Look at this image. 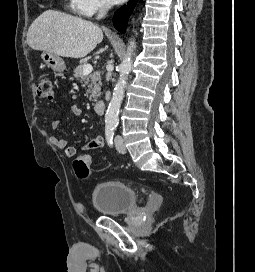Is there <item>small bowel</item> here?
<instances>
[{
	"instance_id": "small-bowel-1",
	"label": "small bowel",
	"mask_w": 255,
	"mask_h": 272,
	"mask_svg": "<svg viewBox=\"0 0 255 272\" xmlns=\"http://www.w3.org/2000/svg\"><path fill=\"white\" fill-rule=\"evenodd\" d=\"M71 112L74 116H77V117L82 115V110L78 106H75V105L71 107ZM60 124H61V119L53 120L51 123V129L53 131H56L59 128ZM50 142L55 147L63 150L67 157H74L77 154V148L73 145L68 144V142L63 138L52 135L50 136ZM104 143L105 141L103 137L97 136L91 139L90 141H88L87 143H85L82 146V148L83 150H86V151H92V150L102 148L104 146Z\"/></svg>"
}]
</instances>
